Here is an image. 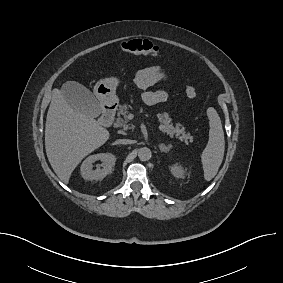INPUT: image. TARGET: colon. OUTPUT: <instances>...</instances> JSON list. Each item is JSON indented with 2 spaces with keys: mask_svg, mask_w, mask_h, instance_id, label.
Segmentation results:
<instances>
[{
  "mask_svg": "<svg viewBox=\"0 0 283 283\" xmlns=\"http://www.w3.org/2000/svg\"><path fill=\"white\" fill-rule=\"evenodd\" d=\"M123 52L128 54L136 55H159L161 50L160 47L153 44L151 41L142 38L130 39L124 41L121 44ZM185 94L189 99H195L197 96L196 88L192 85H188L185 88Z\"/></svg>",
  "mask_w": 283,
  "mask_h": 283,
  "instance_id": "obj_1",
  "label": "colon"
}]
</instances>
